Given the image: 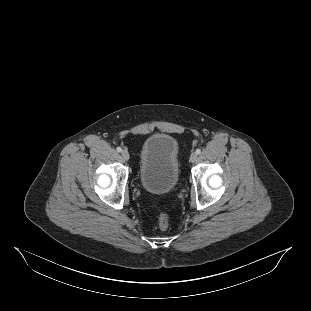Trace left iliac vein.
I'll list each match as a JSON object with an SVG mask.
<instances>
[{
    "instance_id": "4c4485c4",
    "label": "left iliac vein",
    "mask_w": 311,
    "mask_h": 311,
    "mask_svg": "<svg viewBox=\"0 0 311 311\" xmlns=\"http://www.w3.org/2000/svg\"><path fill=\"white\" fill-rule=\"evenodd\" d=\"M197 159V154L196 152H192L191 155H190V162H195Z\"/></svg>"
}]
</instances>
